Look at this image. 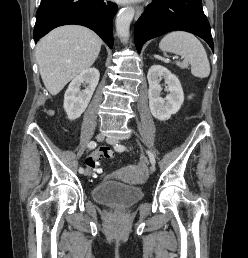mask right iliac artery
Here are the masks:
<instances>
[{"instance_id":"obj_1","label":"right iliac artery","mask_w":248,"mask_h":258,"mask_svg":"<svg viewBox=\"0 0 248 258\" xmlns=\"http://www.w3.org/2000/svg\"><path fill=\"white\" fill-rule=\"evenodd\" d=\"M97 146L96 142L95 141H90L88 143V148L89 149H94L95 147ZM84 172V169L82 167L79 168V173H83Z\"/></svg>"}]
</instances>
